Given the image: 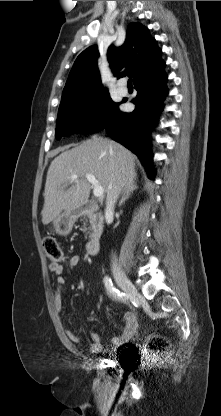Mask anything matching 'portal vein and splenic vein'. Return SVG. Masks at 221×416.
<instances>
[{
    "label": "portal vein and splenic vein",
    "instance_id": "18ae733b",
    "mask_svg": "<svg viewBox=\"0 0 221 416\" xmlns=\"http://www.w3.org/2000/svg\"><path fill=\"white\" fill-rule=\"evenodd\" d=\"M72 180H75L78 178V176L76 174H73L71 176ZM85 178L88 180L89 183L92 184V186L94 187L93 189V194L95 197H102L104 190L103 187L99 184V182L97 181L96 177L93 174H86Z\"/></svg>",
    "mask_w": 221,
    "mask_h": 416
}]
</instances>
